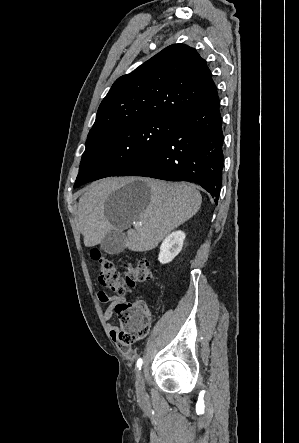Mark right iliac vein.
Wrapping results in <instances>:
<instances>
[{
	"instance_id": "right-iliac-vein-1",
	"label": "right iliac vein",
	"mask_w": 299,
	"mask_h": 443,
	"mask_svg": "<svg viewBox=\"0 0 299 443\" xmlns=\"http://www.w3.org/2000/svg\"><path fill=\"white\" fill-rule=\"evenodd\" d=\"M136 392L140 400L144 399V380L142 371H139L136 377Z\"/></svg>"
}]
</instances>
